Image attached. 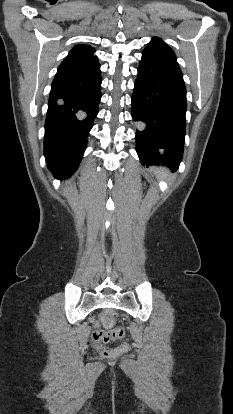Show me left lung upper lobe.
I'll return each mask as SVG.
<instances>
[{
  "label": "left lung upper lobe",
  "instance_id": "1",
  "mask_svg": "<svg viewBox=\"0 0 233 414\" xmlns=\"http://www.w3.org/2000/svg\"><path fill=\"white\" fill-rule=\"evenodd\" d=\"M144 51L156 53L160 56L176 61L173 50L159 38H153Z\"/></svg>",
  "mask_w": 233,
  "mask_h": 414
}]
</instances>
